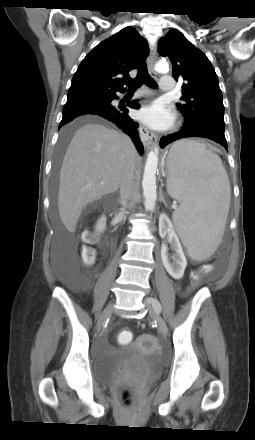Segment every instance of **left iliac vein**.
<instances>
[{
    "label": "left iliac vein",
    "instance_id": "4c4485c4",
    "mask_svg": "<svg viewBox=\"0 0 255 440\" xmlns=\"http://www.w3.org/2000/svg\"><path fill=\"white\" fill-rule=\"evenodd\" d=\"M144 303L146 304V306L148 308L149 315L157 323L158 330L160 331V333L164 336L167 335V332H168L167 325H166L164 319L162 318V316L160 315V313L157 312L154 309V307L152 306V304L150 303L149 297L144 300Z\"/></svg>",
    "mask_w": 255,
    "mask_h": 440
}]
</instances>
